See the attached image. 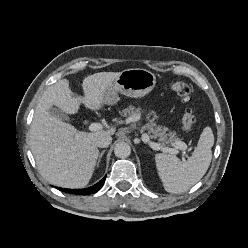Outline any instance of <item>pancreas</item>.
Wrapping results in <instances>:
<instances>
[{
    "label": "pancreas",
    "instance_id": "obj_1",
    "mask_svg": "<svg viewBox=\"0 0 248 248\" xmlns=\"http://www.w3.org/2000/svg\"><path fill=\"white\" fill-rule=\"evenodd\" d=\"M123 117H130L133 121H138L141 118V108L129 105L127 108L123 109L119 112ZM153 115V118L149 120L146 126L143 127V130H147L148 134H150L151 138L157 139L159 144L162 146L171 144L172 146L177 143H183L174 132H169L167 127L157 126L155 120L157 116L153 111H151L147 118Z\"/></svg>",
    "mask_w": 248,
    "mask_h": 248
}]
</instances>
